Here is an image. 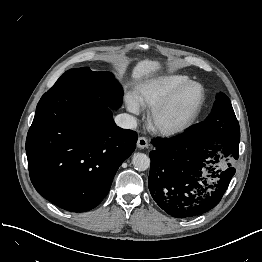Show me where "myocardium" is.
Listing matches in <instances>:
<instances>
[{"instance_id":"f54148a6","label":"myocardium","mask_w":262,"mask_h":262,"mask_svg":"<svg viewBox=\"0 0 262 262\" xmlns=\"http://www.w3.org/2000/svg\"><path fill=\"white\" fill-rule=\"evenodd\" d=\"M191 85H197L201 89L200 100L196 108L192 112V114L184 121L176 124H165L161 122L160 120L161 114L177 100V98L179 97V95L184 89H186L188 86ZM205 99H206V92L204 86L198 81L188 80L183 84L179 85L169 95H167L164 99H162L159 103H157L152 107L148 115V122L151 125V127L161 135L170 136V135L179 134L194 124V122L196 121V119L198 118V116L202 111L203 105L205 103Z\"/></svg>"}]
</instances>
